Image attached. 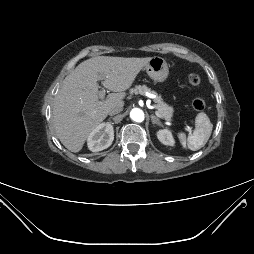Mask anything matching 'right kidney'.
Returning <instances> with one entry per match:
<instances>
[{
	"label": "right kidney",
	"mask_w": 254,
	"mask_h": 254,
	"mask_svg": "<svg viewBox=\"0 0 254 254\" xmlns=\"http://www.w3.org/2000/svg\"><path fill=\"white\" fill-rule=\"evenodd\" d=\"M113 140V126L110 123H101L89 134L87 144L92 152H99L107 149Z\"/></svg>",
	"instance_id": "right-kidney-1"
}]
</instances>
